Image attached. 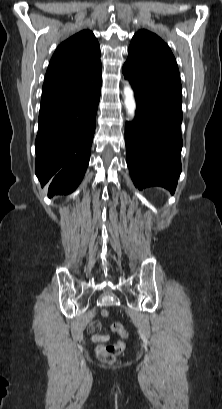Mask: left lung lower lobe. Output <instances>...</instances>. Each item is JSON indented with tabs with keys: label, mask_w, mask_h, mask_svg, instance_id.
<instances>
[{
	"label": "left lung lower lobe",
	"mask_w": 222,
	"mask_h": 409,
	"mask_svg": "<svg viewBox=\"0 0 222 409\" xmlns=\"http://www.w3.org/2000/svg\"><path fill=\"white\" fill-rule=\"evenodd\" d=\"M130 83L137 102L135 120L125 125L132 180L138 189L162 186L173 193L181 172L182 101L145 84Z\"/></svg>",
	"instance_id": "0a47b994"
}]
</instances>
